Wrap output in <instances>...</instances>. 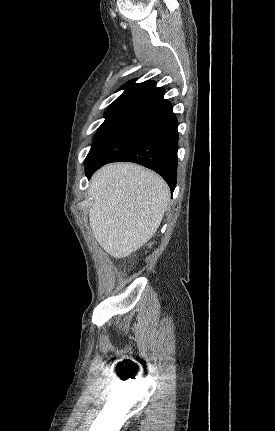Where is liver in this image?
<instances>
[{
  "mask_svg": "<svg viewBox=\"0 0 275 431\" xmlns=\"http://www.w3.org/2000/svg\"><path fill=\"white\" fill-rule=\"evenodd\" d=\"M89 221L100 246L116 259L147 243L157 231L170 200L167 183L131 163L109 164L90 182Z\"/></svg>",
  "mask_w": 275,
  "mask_h": 431,
  "instance_id": "liver-1",
  "label": "liver"
}]
</instances>
